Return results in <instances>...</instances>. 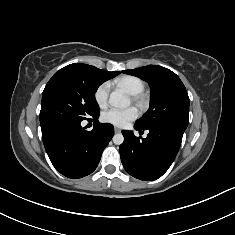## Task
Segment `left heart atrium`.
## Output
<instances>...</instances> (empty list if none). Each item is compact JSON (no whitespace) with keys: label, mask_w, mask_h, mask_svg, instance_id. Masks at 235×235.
Returning <instances> with one entry per match:
<instances>
[{"label":"left heart atrium","mask_w":235,"mask_h":235,"mask_svg":"<svg viewBox=\"0 0 235 235\" xmlns=\"http://www.w3.org/2000/svg\"><path fill=\"white\" fill-rule=\"evenodd\" d=\"M138 111L134 107L117 108L112 107L106 110L103 115V121L115 126L124 127L138 117Z\"/></svg>","instance_id":"obj_1"}]
</instances>
